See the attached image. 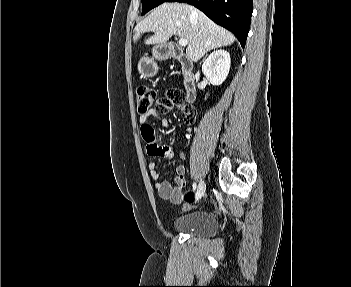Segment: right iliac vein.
I'll return each instance as SVG.
<instances>
[{"mask_svg": "<svg viewBox=\"0 0 351 287\" xmlns=\"http://www.w3.org/2000/svg\"><path fill=\"white\" fill-rule=\"evenodd\" d=\"M205 190H206V184L203 180H201L199 182V185H198V189H197V193H196V199H200L204 193H205Z\"/></svg>", "mask_w": 351, "mask_h": 287, "instance_id": "right-iliac-vein-1", "label": "right iliac vein"}]
</instances>
